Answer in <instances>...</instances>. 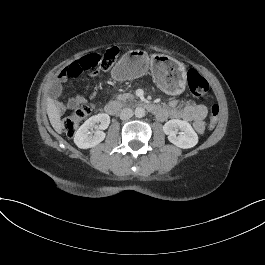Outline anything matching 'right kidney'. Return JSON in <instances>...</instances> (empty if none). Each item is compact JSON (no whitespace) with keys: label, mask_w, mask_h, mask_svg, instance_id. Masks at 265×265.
Wrapping results in <instances>:
<instances>
[{"label":"right kidney","mask_w":265,"mask_h":265,"mask_svg":"<svg viewBox=\"0 0 265 265\" xmlns=\"http://www.w3.org/2000/svg\"><path fill=\"white\" fill-rule=\"evenodd\" d=\"M110 117L100 113L90 117L77 130L74 143L81 149H87L98 145L105 139L106 134L102 131L108 128Z\"/></svg>","instance_id":"right-kidney-1"}]
</instances>
